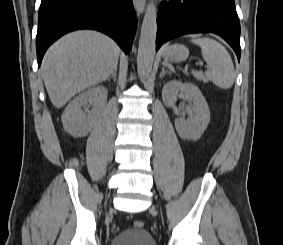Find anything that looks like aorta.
Wrapping results in <instances>:
<instances>
[{
  "label": "aorta",
  "instance_id": "762f6f07",
  "mask_svg": "<svg viewBox=\"0 0 283 245\" xmlns=\"http://www.w3.org/2000/svg\"><path fill=\"white\" fill-rule=\"evenodd\" d=\"M157 32V9L153 2L147 5L142 22L138 56L137 70L142 77H148L152 71Z\"/></svg>",
  "mask_w": 283,
  "mask_h": 245
}]
</instances>
